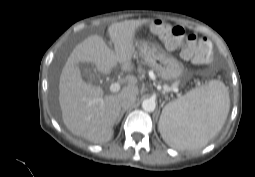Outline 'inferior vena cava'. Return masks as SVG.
Listing matches in <instances>:
<instances>
[{
  "instance_id": "obj_1",
  "label": "inferior vena cava",
  "mask_w": 255,
  "mask_h": 177,
  "mask_svg": "<svg viewBox=\"0 0 255 177\" xmlns=\"http://www.w3.org/2000/svg\"><path fill=\"white\" fill-rule=\"evenodd\" d=\"M136 102V96L134 95H126L120 100V106L126 110L134 105Z\"/></svg>"
}]
</instances>
